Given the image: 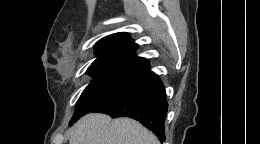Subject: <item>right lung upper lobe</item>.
<instances>
[{"label": "right lung upper lobe", "mask_w": 260, "mask_h": 144, "mask_svg": "<svg viewBox=\"0 0 260 144\" xmlns=\"http://www.w3.org/2000/svg\"><path fill=\"white\" fill-rule=\"evenodd\" d=\"M138 45L129 39L127 33H115L96 43L98 58L90 68H108L139 72L149 66L147 59L134 55Z\"/></svg>", "instance_id": "right-lung-upper-lobe-1"}]
</instances>
